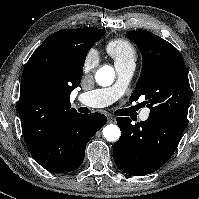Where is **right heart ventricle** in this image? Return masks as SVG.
<instances>
[{"label": "right heart ventricle", "instance_id": "e07e8e85", "mask_svg": "<svg viewBox=\"0 0 199 199\" xmlns=\"http://www.w3.org/2000/svg\"><path fill=\"white\" fill-rule=\"evenodd\" d=\"M107 52L114 59L116 65L135 63L137 58L136 49L125 39H114L107 44Z\"/></svg>", "mask_w": 199, "mask_h": 199}]
</instances>
